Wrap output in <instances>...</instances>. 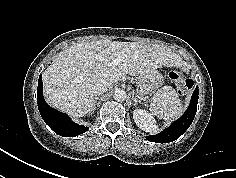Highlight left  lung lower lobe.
<instances>
[{
    "instance_id": "0a47b994",
    "label": "left lung lower lobe",
    "mask_w": 236,
    "mask_h": 178,
    "mask_svg": "<svg viewBox=\"0 0 236 178\" xmlns=\"http://www.w3.org/2000/svg\"><path fill=\"white\" fill-rule=\"evenodd\" d=\"M198 103V86L195 88L190 105L185 113L168 128L157 135L147 136L146 139L151 142L168 143L178 139L191 125L194 120Z\"/></svg>"
}]
</instances>
